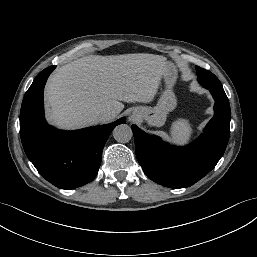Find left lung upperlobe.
<instances>
[{
	"label": "left lung upper lobe",
	"instance_id": "5c2ea615",
	"mask_svg": "<svg viewBox=\"0 0 257 257\" xmlns=\"http://www.w3.org/2000/svg\"><path fill=\"white\" fill-rule=\"evenodd\" d=\"M198 80L200 84L207 89L221 90L223 89L218 78L208 70L196 66Z\"/></svg>",
	"mask_w": 257,
	"mask_h": 257
}]
</instances>
